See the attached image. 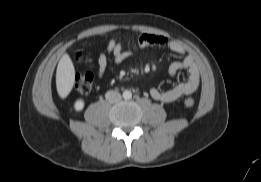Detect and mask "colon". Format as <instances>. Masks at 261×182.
<instances>
[{"label":"colon","mask_w":261,"mask_h":182,"mask_svg":"<svg viewBox=\"0 0 261 182\" xmlns=\"http://www.w3.org/2000/svg\"><path fill=\"white\" fill-rule=\"evenodd\" d=\"M76 59L79 62H87L88 57L87 55L80 50L77 55ZM75 88L78 92L83 93V94H89L92 92L93 89V76L91 73H85V74H80L77 75L75 78ZM195 104V100L192 97H187L184 100V105L186 107H192Z\"/></svg>","instance_id":"5ec220e1"}]
</instances>
